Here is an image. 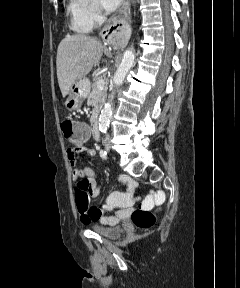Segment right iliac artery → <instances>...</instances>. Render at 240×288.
I'll list each match as a JSON object with an SVG mask.
<instances>
[{"label":"right iliac artery","instance_id":"1","mask_svg":"<svg viewBox=\"0 0 240 288\" xmlns=\"http://www.w3.org/2000/svg\"><path fill=\"white\" fill-rule=\"evenodd\" d=\"M100 156L103 158V159H107L108 156H107V152L105 150H101L100 151Z\"/></svg>","mask_w":240,"mask_h":288}]
</instances>
